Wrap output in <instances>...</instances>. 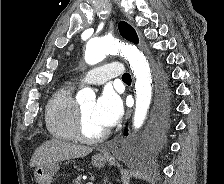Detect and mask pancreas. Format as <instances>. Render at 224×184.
<instances>
[{"mask_svg": "<svg viewBox=\"0 0 224 184\" xmlns=\"http://www.w3.org/2000/svg\"><path fill=\"white\" fill-rule=\"evenodd\" d=\"M74 184H82L81 176H78V177L74 180Z\"/></svg>", "mask_w": 224, "mask_h": 184, "instance_id": "1", "label": "pancreas"}]
</instances>
